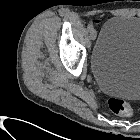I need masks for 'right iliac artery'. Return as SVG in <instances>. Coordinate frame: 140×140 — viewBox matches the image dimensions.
<instances>
[{
    "label": "right iliac artery",
    "instance_id": "1",
    "mask_svg": "<svg viewBox=\"0 0 140 140\" xmlns=\"http://www.w3.org/2000/svg\"><path fill=\"white\" fill-rule=\"evenodd\" d=\"M87 28H88L89 31H91V30H93V25H88Z\"/></svg>",
    "mask_w": 140,
    "mask_h": 140
}]
</instances>
